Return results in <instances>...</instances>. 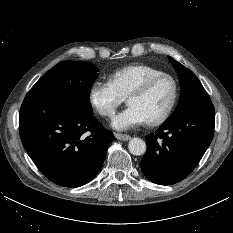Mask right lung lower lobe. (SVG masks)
<instances>
[{"label":"right lung lower lobe","instance_id":"1","mask_svg":"<svg viewBox=\"0 0 233 233\" xmlns=\"http://www.w3.org/2000/svg\"><path fill=\"white\" fill-rule=\"evenodd\" d=\"M19 131L42 174L64 187L91 181L114 140L93 115L74 101L56 96L27 94L19 113Z\"/></svg>","mask_w":233,"mask_h":233}]
</instances>
